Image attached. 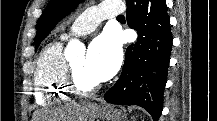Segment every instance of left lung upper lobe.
I'll use <instances>...</instances> for the list:
<instances>
[{
	"label": "left lung upper lobe",
	"mask_w": 217,
	"mask_h": 121,
	"mask_svg": "<svg viewBox=\"0 0 217 121\" xmlns=\"http://www.w3.org/2000/svg\"><path fill=\"white\" fill-rule=\"evenodd\" d=\"M82 1L83 0H50L37 23L35 51L58 21L73 11Z\"/></svg>",
	"instance_id": "5c2ea615"
}]
</instances>
